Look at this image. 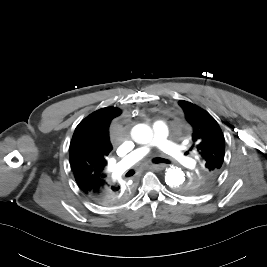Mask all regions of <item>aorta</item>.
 Instances as JSON below:
<instances>
[{
  "mask_svg": "<svg viewBox=\"0 0 267 267\" xmlns=\"http://www.w3.org/2000/svg\"><path fill=\"white\" fill-rule=\"evenodd\" d=\"M134 140L141 144H147L152 140V130L145 124H138L132 129ZM185 181L184 172L178 167L166 169L165 182L171 188H180Z\"/></svg>",
  "mask_w": 267,
  "mask_h": 267,
  "instance_id": "aorta-1",
  "label": "aorta"
}]
</instances>
